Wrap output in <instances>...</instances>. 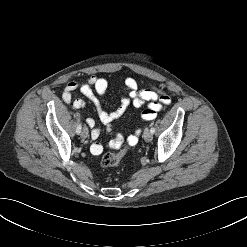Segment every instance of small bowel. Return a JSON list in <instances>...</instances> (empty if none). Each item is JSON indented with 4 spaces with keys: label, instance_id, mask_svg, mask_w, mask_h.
Here are the masks:
<instances>
[{
    "label": "small bowel",
    "instance_id": "small-bowel-1",
    "mask_svg": "<svg viewBox=\"0 0 247 247\" xmlns=\"http://www.w3.org/2000/svg\"><path fill=\"white\" fill-rule=\"evenodd\" d=\"M77 90L92 101L97 109L99 120L106 126L108 131L111 130L112 123L120 119L130 106L140 108L146 105L142 112V118L144 120H152L163 106L171 103L170 96L154 86L139 90L137 81L132 77L126 78L124 95L118 108L113 112L105 111L99 99L108 90V81L105 78L92 74L85 82L77 83L71 81L65 85L62 91L63 101L68 105H72L74 109H83L85 102L80 98H73V93ZM86 124L91 129L92 139H98L102 130L97 127L96 120L93 117H89L86 119ZM121 138L122 135L117 134L111 145L120 141ZM129 140L130 142L137 143L138 137L133 135ZM92 150L94 153L99 154L102 151V145L96 142L92 145Z\"/></svg>",
    "mask_w": 247,
    "mask_h": 247
}]
</instances>
